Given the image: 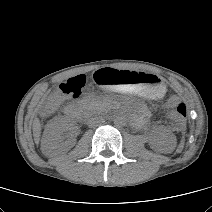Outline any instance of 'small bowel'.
<instances>
[{"instance_id":"c3829d8e","label":"small bowel","mask_w":212,"mask_h":212,"mask_svg":"<svg viewBox=\"0 0 212 212\" xmlns=\"http://www.w3.org/2000/svg\"><path fill=\"white\" fill-rule=\"evenodd\" d=\"M146 114H147V112L143 109L141 115L145 116Z\"/></svg>"}]
</instances>
